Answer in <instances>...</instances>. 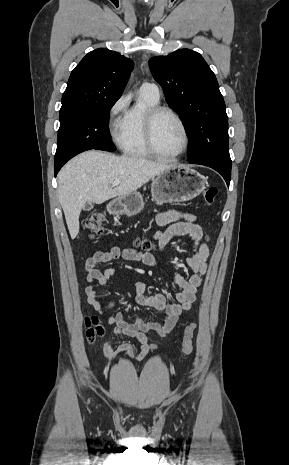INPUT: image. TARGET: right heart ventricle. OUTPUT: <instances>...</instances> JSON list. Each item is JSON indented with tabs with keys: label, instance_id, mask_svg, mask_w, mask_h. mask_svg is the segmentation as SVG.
Masks as SVG:
<instances>
[{
	"label": "right heart ventricle",
	"instance_id": "1",
	"mask_svg": "<svg viewBox=\"0 0 289 465\" xmlns=\"http://www.w3.org/2000/svg\"><path fill=\"white\" fill-rule=\"evenodd\" d=\"M141 103L130 107L123 119L121 132L117 138L120 149L135 158H147L152 154L148 150L144 135V119L147 110L157 105L159 99L140 90Z\"/></svg>",
	"mask_w": 289,
	"mask_h": 465
}]
</instances>
